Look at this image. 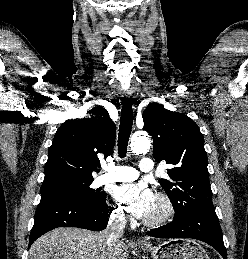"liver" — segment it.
I'll list each match as a JSON object with an SVG mask.
<instances>
[{
	"label": "liver",
	"mask_w": 248,
	"mask_h": 259,
	"mask_svg": "<svg viewBox=\"0 0 248 259\" xmlns=\"http://www.w3.org/2000/svg\"><path fill=\"white\" fill-rule=\"evenodd\" d=\"M128 256V246L123 241L108 246L102 232L73 227L54 229L39 237L29 249V259H128Z\"/></svg>",
	"instance_id": "6515ba94"
}]
</instances>
